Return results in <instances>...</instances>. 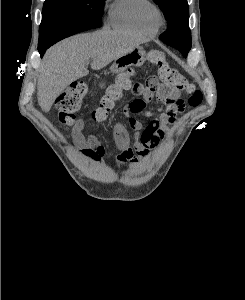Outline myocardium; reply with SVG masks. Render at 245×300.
Segmentation results:
<instances>
[{"label": "myocardium", "mask_w": 245, "mask_h": 300, "mask_svg": "<svg viewBox=\"0 0 245 300\" xmlns=\"http://www.w3.org/2000/svg\"><path fill=\"white\" fill-rule=\"evenodd\" d=\"M146 19L151 25H153L157 28L162 26L163 22H164L163 15H162L161 11L156 7H153L152 9H150L147 12Z\"/></svg>", "instance_id": "myocardium-1"}]
</instances>
